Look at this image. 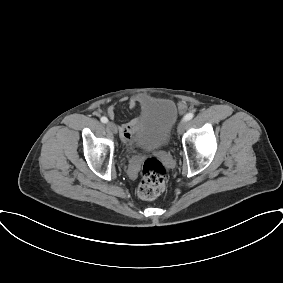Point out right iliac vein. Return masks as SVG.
I'll list each match as a JSON object with an SVG mask.
<instances>
[{
  "label": "right iliac vein",
  "mask_w": 283,
  "mask_h": 283,
  "mask_svg": "<svg viewBox=\"0 0 283 283\" xmlns=\"http://www.w3.org/2000/svg\"><path fill=\"white\" fill-rule=\"evenodd\" d=\"M107 128L112 131L113 133H117V126L113 122L107 123Z\"/></svg>",
  "instance_id": "obj_1"
}]
</instances>
